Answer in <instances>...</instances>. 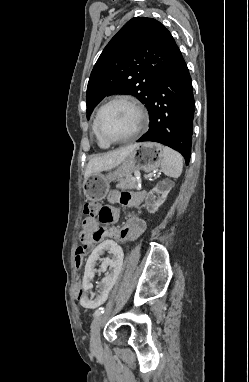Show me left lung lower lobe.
<instances>
[{"instance_id":"obj_1","label":"left lung lower lobe","mask_w":249,"mask_h":382,"mask_svg":"<svg viewBox=\"0 0 249 382\" xmlns=\"http://www.w3.org/2000/svg\"><path fill=\"white\" fill-rule=\"evenodd\" d=\"M149 130L137 142L153 141L180 152L190 161L193 132L194 97L191 77L177 47L161 75L151 101Z\"/></svg>"}]
</instances>
